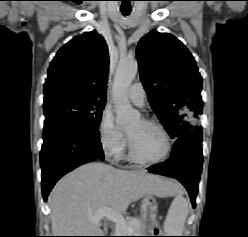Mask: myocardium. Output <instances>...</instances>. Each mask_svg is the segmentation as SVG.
I'll use <instances>...</instances> for the list:
<instances>
[{
  "mask_svg": "<svg viewBox=\"0 0 248 237\" xmlns=\"http://www.w3.org/2000/svg\"><path fill=\"white\" fill-rule=\"evenodd\" d=\"M141 121L148 126L154 127L156 128L164 137L165 142H166V150L164 152V154L156 159H147L142 157L136 150L135 146L133 145L130 137L127 135V141H128V147H129V154L131 156V158L139 163L142 164H158L161 163L165 160L168 159V157L170 156L171 152H172V148H173V144H172V140L171 137L169 135V133L167 132V130L164 128V126L154 120H150V119H146L143 118L141 119Z\"/></svg>",
  "mask_w": 248,
  "mask_h": 237,
  "instance_id": "f54148a6",
  "label": "myocardium"
}]
</instances>
